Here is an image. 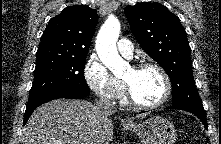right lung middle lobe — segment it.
<instances>
[{
    "mask_svg": "<svg viewBox=\"0 0 221 144\" xmlns=\"http://www.w3.org/2000/svg\"><path fill=\"white\" fill-rule=\"evenodd\" d=\"M85 63L86 56L38 55L27 106L57 90L89 91L84 78Z\"/></svg>",
    "mask_w": 221,
    "mask_h": 144,
    "instance_id": "right-lung-middle-lobe-1",
    "label": "right lung middle lobe"
}]
</instances>
